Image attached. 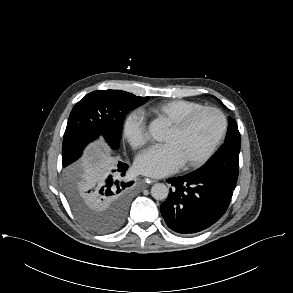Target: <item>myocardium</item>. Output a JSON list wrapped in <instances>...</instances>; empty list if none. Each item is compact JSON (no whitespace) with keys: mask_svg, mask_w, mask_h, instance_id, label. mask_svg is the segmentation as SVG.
<instances>
[{"mask_svg":"<svg viewBox=\"0 0 293 293\" xmlns=\"http://www.w3.org/2000/svg\"><path fill=\"white\" fill-rule=\"evenodd\" d=\"M204 112L216 113L221 119V129H220L217 137L214 139V141L210 145V147L201 156H199L198 158H196L192 161L183 163L185 168H196V167L204 164L205 162H207L213 156V154L216 152V150L218 149L219 145L221 144V142L223 141V139L227 133L228 119H227L225 113L221 109H219L217 107H213V106H203L199 109H196V110L186 114L185 116L181 117L179 120L170 124V128L175 132H182L190 125V123L196 117H198L200 114H202Z\"/></svg>","mask_w":293,"mask_h":293,"instance_id":"f54148a6","label":"myocardium"}]
</instances>
